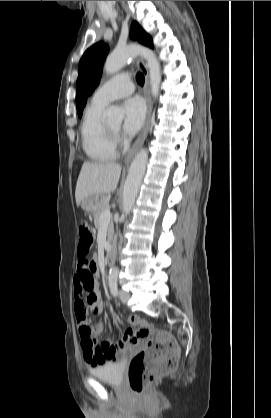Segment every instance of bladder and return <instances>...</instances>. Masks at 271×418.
Segmentation results:
<instances>
[{"mask_svg":"<svg viewBox=\"0 0 271 418\" xmlns=\"http://www.w3.org/2000/svg\"><path fill=\"white\" fill-rule=\"evenodd\" d=\"M125 371L124 361H111L91 368L89 373L102 381L111 384H120L123 380Z\"/></svg>","mask_w":271,"mask_h":418,"instance_id":"1","label":"bladder"}]
</instances>
